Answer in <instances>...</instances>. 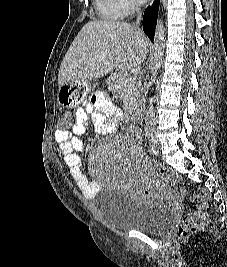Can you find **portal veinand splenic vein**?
Returning a JSON list of instances; mask_svg holds the SVG:
<instances>
[{
	"label": "portal vein and splenic vein",
	"mask_w": 227,
	"mask_h": 267,
	"mask_svg": "<svg viewBox=\"0 0 227 267\" xmlns=\"http://www.w3.org/2000/svg\"><path fill=\"white\" fill-rule=\"evenodd\" d=\"M136 79H137V77H136V76H131V77H130V80H131V81H133V82H135V81H136Z\"/></svg>",
	"instance_id": "1"
}]
</instances>
